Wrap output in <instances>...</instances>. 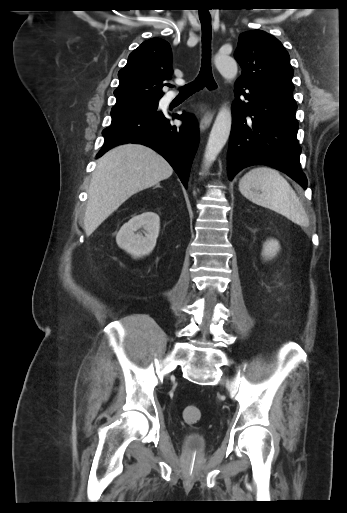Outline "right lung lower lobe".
I'll return each mask as SVG.
<instances>
[{
	"mask_svg": "<svg viewBox=\"0 0 347 513\" xmlns=\"http://www.w3.org/2000/svg\"><path fill=\"white\" fill-rule=\"evenodd\" d=\"M180 119V127L172 126L162 112H142L112 117L111 126L103 130L105 143L97 155L125 143L146 145L161 154L187 187L193 158L199 144V130L195 118L188 114L173 115Z\"/></svg>",
	"mask_w": 347,
	"mask_h": 513,
	"instance_id": "1",
	"label": "right lung lower lobe"
}]
</instances>
